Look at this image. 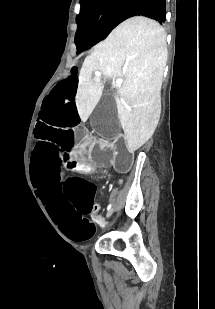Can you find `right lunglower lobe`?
I'll list each match as a JSON object with an SVG mask.
<instances>
[{
    "label": "right lung lower lobe",
    "mask_w": 215,
    "mask_h": 309,
    "mask_svg": "<svg viewBox=\"0 0 215 309\" xmlns=\"http://www.w3.org/2000/svg\"><path fill=\"white\" fill-rule=\"evenodd\" d=\"M134 16H146L163 23L166 20V0H131L115 22V27Z\"/></svg>",
    "instance_id": "obj_1"
}]
</instances>
